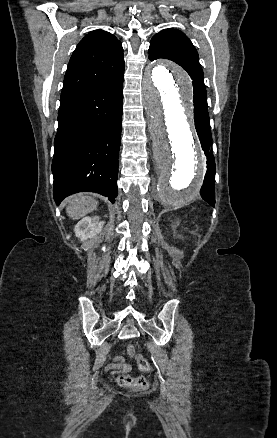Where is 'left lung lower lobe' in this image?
I'll use <instances>...</instances> for the list:
<instances>
[{"instance_id": "left-lung-lower-lobe-1", "label": "left lung lower lobe", "mask_w": 277, "mask_h": 438, "mask_svg": "<svg viewBox=\"0 0 277 438\" xmlns=\"http://www.w3.org/2000/svg\"><path fill=\"white\" fill-rule=\"evenodd\" d=\"M195 128L198 133L202 149L207 156V172L204 178L200 194L210 205L214 206V184H215V160L212 151V135L208 113L194 111Z\"/></svg>"}]
</instances>
